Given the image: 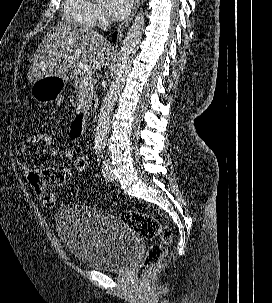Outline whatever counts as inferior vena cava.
Listing matches in <instances>:
<instances>
[{"label": "inferior vena cava", "mask_w": 272, "mask_h": 303, "mask_svg": "<svg viewBox=\"0 0 272 303\" xmlns=\"http://www.w3.org/2000/svg\"><path fill=\"white\" fill-rule=\"evenodd\" d=\"M109 26V21L107 19H102L101 21V29L106 31Z\"/></svg>", "instance_id": "602c4592"}]
</instances>
